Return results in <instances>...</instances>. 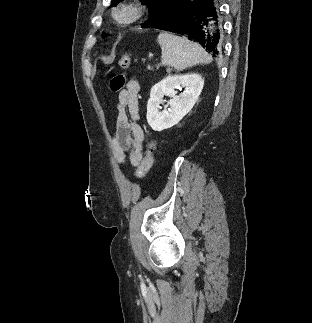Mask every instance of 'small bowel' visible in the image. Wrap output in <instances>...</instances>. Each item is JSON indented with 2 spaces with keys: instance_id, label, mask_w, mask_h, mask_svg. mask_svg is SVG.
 Returning a JSON list of instances; mask_svg holds the SVG:
<instances>
[{
  "instance_id": "obj_1",
  "label": "small bowel",
  "mask_w": 312,
  "mask_h": 323,
  "mask_svg": "<svg viewBox=\"0 0 312 323\" xmlns=\"http://www.w3.org/2000/svg\"><path fill=\"white\" fill-rule=\"evenodd\" d=\"M140 84L131 78L117 98L112 152L115 161L121 165L138 166L143 160L144 131L139 123L138 94ZM129 152V156L127 153Z\"/></svg>"
}]
</instances>
